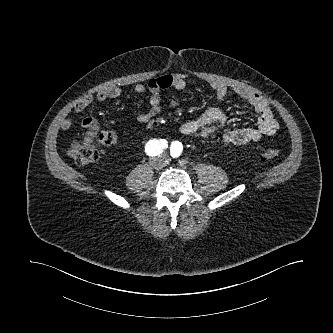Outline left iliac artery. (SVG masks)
I'll return each instance as SVG.
<instances>
[{
	"instance_id": "obj_1",
	"label": "left iliac artery",
	"mask_w": 333,
	"mask_h": 333,
	"mask_svg": "<svg viewBox=\"0 0 333 333\" xmlns=\"http://www.w3.org/2000/svg\"><path fill=\"white\" fill-rule=\"evenodd\" d=\"M182 152V146L179 143H172L170 146V153L173 158L180 156Z\"/></svg>"
}]
</instances>
